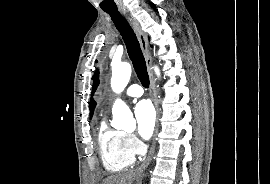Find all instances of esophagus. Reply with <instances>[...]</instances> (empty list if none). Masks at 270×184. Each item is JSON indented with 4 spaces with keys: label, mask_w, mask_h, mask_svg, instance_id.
I'll use <instances>...</instances> for the list:
<instances>
[{
    "label": "esophagus",
    "mask_w": 270,
    "mask_h": 184,
    "mask_svg": "<svg viewBox=\"0 0 270 184\" xmlns=\"http://www.w3.org/2000/svg\"><path fill=\"white\" fill-rule=\"evenodd\" d=\"M121 14L127 19L131 27L133 28L138 41L140 43L141 50L143 52V55L145 57L146 65H147V71L149 75V80H150V94H151V99L153 101L154 107L156 109V114H157V119H156V126L154 130V135H153V143L152 147L150 149V152L148 154V157L145 159V161L140 165L138 168L139 172H142L149 164V162L152 159L154 150H155V139L156 135L158 133V127H159V107H158V101H157V95H156V89H155V80L153 77V73L151 71V62H152V57L149 49V45L147 42V37L145 33L143 32L139 22L135 17L132 16V14L126 9V8H120Z\"/></svg>",
    "instance_id": "obj_1"
}]
</instances>
